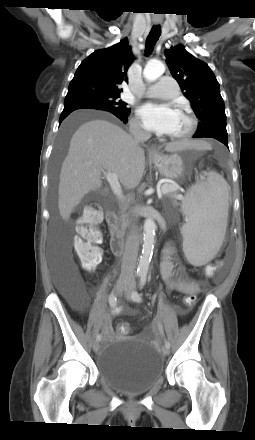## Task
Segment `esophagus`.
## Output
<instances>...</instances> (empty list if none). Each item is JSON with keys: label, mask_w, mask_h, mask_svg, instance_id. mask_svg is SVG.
I'll return each mask as SVG.
<instances>
[{"label": "esophagus", "mask_w": 255, "mask_h": 440, "mask_svg": "<svg viewBox=\"0 0 255 440\" xmlns=\"http://www.w3.org/2000/svg\"><path fill=\"white\" fill-rule=\"evenodd\" d=\"M159 24V22H155V25H158ZM151 154L153 155V156H157L158 154H157V151H156V149L154 148V147H152L151 148Z\"/></svg>", "instance_id": "1"}]
</instances>
